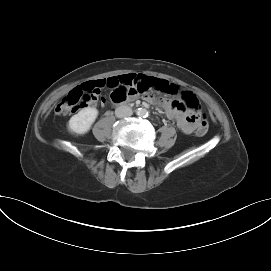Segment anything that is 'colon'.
I'll list each match as a JSON object with an SVG mask.
<instances>
[{
    "mask_svg": "<svg viewBox=\"0 0 271 271\" xmlns=\"http://www.w3.org/2000/svg\"><path fill=\"white\" fill-rule=\"evenodd\" d=\"M97 94L92 86H78L72 89L56 106L58 114H69L79 108L88 105L89 101ZM182 99L187 107L194 111V120L196 124V134L202 136L208 131V122L206 116L200 113L199 102L197 98L189 92L182 93ZM118 103V102H116ZM180 108H184L182 103L177 102Z\"/></svg>",
    "mask_w": 271,
    "mask_h": 271,
    "instance_id": "5ec220e1",
    "label": "colon"
}]
</instances>
